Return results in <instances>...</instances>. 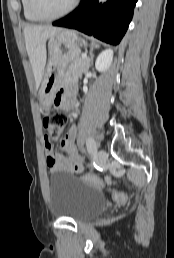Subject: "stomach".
Masks as SVG:
<instances>
[{"label":"stomach","instance_id":"stomach-1","mask_svg":"<svg viewBox=\"0 0 174 258\" xmlns=\"http://www.w3.org/2000/svg\"><path fill=\"white\" fill-rule=\"evenodd\" d=\"M81 41L72 30H61L49 38L48 64L39 91V99L43 109L52 105L53 97L60 86L66 66L80 56Z\"/></svg>","mask_w":174,"mask_h":258}]
</instances>
